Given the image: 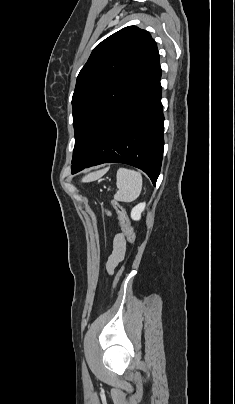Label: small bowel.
Instances as JSON below:
<instances>
[{"instance_id":"small-bowel-1","label":"small bowel","mask_w":235,"mask_h":404,"mask_svg":"<svg viewBox=\"0 0 235 404\" xmlns=\"http://www.w3.org/2000/svg\"><path fill=\"white\" fill-rule=\"evenodd\" d=\"M126 253V242L122 234H117L113 239V249L106 262V270L113 274L115 268L123 261Z\"/></svg>"}]
</instances>
